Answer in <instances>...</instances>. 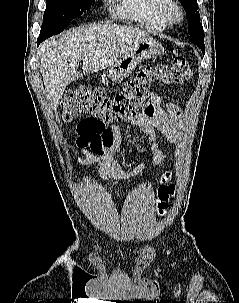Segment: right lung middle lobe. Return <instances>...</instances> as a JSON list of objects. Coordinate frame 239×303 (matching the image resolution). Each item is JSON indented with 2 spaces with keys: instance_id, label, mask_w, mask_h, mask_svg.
Returning a JSON list of instances; mask_svg holds the SVG:
<instances>
[{
  "instance_id": "1",
  "label": "right lung middle lobe",
  "mask_w": 239,
  "mask_h": 303,
  "mask_svg": "<svg viewBox=\"0 0 239 303\" xmlns=\"http://www.w3.org/2000/svg\"><path fill=\"white\" fill-rule=\"evenodd\" d=\"M94 0H47L40 34L52 36L90 9Z\"/></svg>"
}]
</instances>
